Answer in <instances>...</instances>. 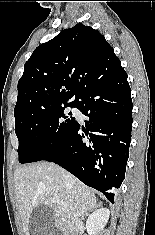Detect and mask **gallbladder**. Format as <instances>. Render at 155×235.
Here are the masks:
<instances>
[{
  "mask_svg": "<svg viewBox=\"0 0 155 235\" xmlns=\"http://www.w3.org/2000/svg\"><path fill=\"white\" fill-rule=\"evenodd\" d=\"M54 211L50 206L37 205L30 216V235H53Z\"/></svg>",
  "mask_w": 155,
  "mask_h": 235,
  "instance_id": "obj_1",
  "label": "gallbladder"
}]
</instances>
